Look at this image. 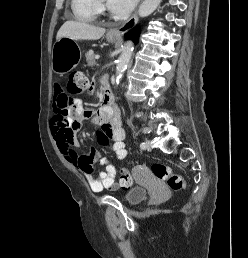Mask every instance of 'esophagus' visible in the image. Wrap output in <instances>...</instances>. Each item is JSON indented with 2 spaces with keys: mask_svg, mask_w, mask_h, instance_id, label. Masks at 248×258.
<instances>
[{
  "mask_svg": "<svg viewBox=\"0 0 248 258\" xmlns=\"http://www.w3.org/2000/svg\"><path fill=\"white\" fill-rule=\"evenodd\" d=\"M138 20V11L136 10L133 15L128 19L123 25L117 27V28H112L109 30L110 35H115V36H121L125 34L128 30H130Z\"/></svg>",
  "mask_w": 248,
  "mask_h": 258,
  "instance_id": "1",
  "label": "esophagus"
}]
</instances>
